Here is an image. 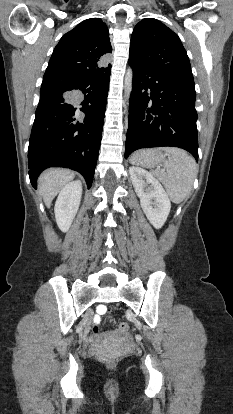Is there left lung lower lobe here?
Returning <instances> with one entry per match:
<instances>
[{"instance_id":"obj_1","label":"left lung lower lobe","mask_w":233,"mask_h":414,"mask_svg":"<svg viewBox=\"0 0 233 414\" xmlns=\"http://www.w3.org/2000/svg\"><path fill=\"white\" fill-rule=\"evenodd\" d=\"M133 88L125 158L141 148L179 147L198 160L193 80L161 76L129 61Z\"/></svg>"}]
</instances>
